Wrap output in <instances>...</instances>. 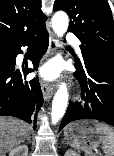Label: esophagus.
<instances>
[{"instance_id":"34e87169","label":"esophagus","mask_w":114,"mask_h":156,"mask_svg":"<svg viewBox=\"0 0 114 156\" xmlns=\"http://www.w3.org/2000/svg\"><path fill=\"white\" fill-rule=\"evenodd\" d=\"M57 47H58L57 38L54 34H51L49 39V49H48L47 57L53 55L56 52ZM41 89H42L44 99L48 101L54 93L55 84L43 80L41 82Z\"/></svg>"}]
</instances>
